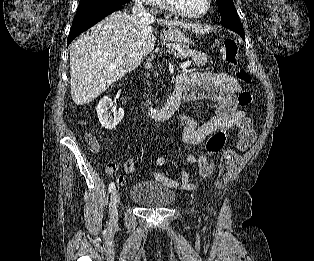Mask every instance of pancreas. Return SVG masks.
Masks as SVG:
<instances>
[{
    "mask_svg": "<svg viewBox=\"0 0 314 261\" xmlns=\"http://www.w3.org/2000/svg\"><path fill=\"white\" fill-rule=\"evenodd\" d=\"M171 52L179 58L191 57L192 64L195 67L205 66L208 62V56L197 50L183 49L179 47L178 49L172 48Z\"/></svg>",
    "mask_w": 314,
    "mask_h": 261,
    "instance_id": "cf45deb5",
    "label": "pancreas"
}]
</instances>
